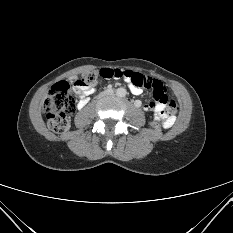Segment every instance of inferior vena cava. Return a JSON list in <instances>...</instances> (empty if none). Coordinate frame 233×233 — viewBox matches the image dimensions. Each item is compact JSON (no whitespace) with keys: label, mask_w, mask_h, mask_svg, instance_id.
Wrapping results in <instances>:
<instances>
[{"label":"inferior vena cava","mask_w":233,"mask_h":233,"mask_svg":"<svg viewBox=\"0 0 233 233\" xmlns=\"http://www.w3.org/2000/svg\"><path fill=\"white\" fill-rule=\"evenodd\" d=\"M113 93H114L113 90L110 89V88H108V89H106V90H104V89L101 90L99 94H100V98H101V99H106L107 96L110 97V96L113 95Z\"/></svg>","instance_id":"602c4592"}]
</instances>
